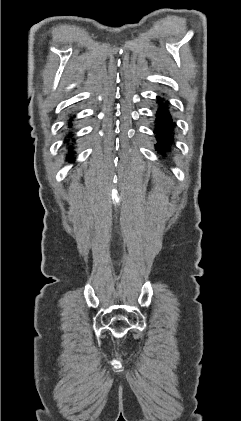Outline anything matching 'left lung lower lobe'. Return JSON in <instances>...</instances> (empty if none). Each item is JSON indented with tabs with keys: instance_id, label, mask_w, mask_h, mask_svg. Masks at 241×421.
<instances>
[{
	"instance_id": "obj_1",
	"label": "left lung lower lobe",
	"mask_w": 241,
	"mask_h": 421,
	"mask_svg": "<svg viewBox=\"0 0 241 421\" xmlns=\"http://www.w3.org/2000/svg\"><path fill=\"white\" fill-rule=\"evenodd\" d=\"M159 108L156 112V127L154 134H156L157 144L156 148L160 153L168 151L170 149V144L173 141V129L175 124L172 122L171 114L168 110V101H165L164 98L160 99L158 97Z\"/></svg>"
}]
</instances>
